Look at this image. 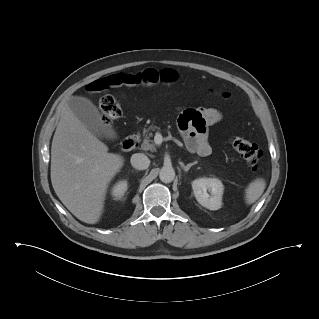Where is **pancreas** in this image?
<instances>
[{
    "instance_id": "pancreas-1",
    "label": "pancreas",
    "mask_w": 319,
    "mask_h": 319,
    "mask_svg": "<svg viewBox=\"0 0 319 319\" xmlns=\"http://www.w3.org/2000/svg\"><path fill=\"white\" fill-rule=\"evenodd\" d=\"M151 130H155L154 127H149L148 129H145L143 132V143L141 145V149L145 150V151H155L156 147L155 144L153 143V141L150 139V137L153 136L152 132H150Z\"/></svg>"
}]
</instances>
